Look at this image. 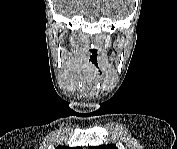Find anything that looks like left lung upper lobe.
I'll return each instance as SVG.
<instances>
[{"mask_svg":"<svg viewBox=\"0 0 177 149\" xmlns=\"http://www.w3.org/2000/svg\"><path fill=\"white\" fill-rule=\"evenodd\" d=\"M93 148H102V149H117L115 145H107V146H99V147H93Z\"/></svg>","mask_w":177,"mask_h":149,"instance_id":"obj_1","label":"left lung upper lobe"}]
</instances>
